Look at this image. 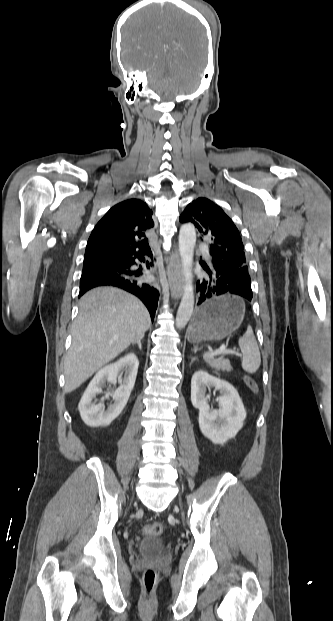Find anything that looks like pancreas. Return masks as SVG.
<instances>
[{"label":"pancreas","instance_id":"1","mask_svg":"<svg viewBox=\"0 0 333 621\" xmlns=\"http://www.w3.org/2000/svg\"><path fill=\"white\" fill-rule=\"evenodd\" d=\"M204 360L217 371H227L230 372L232 370V366L230 361L224 357L214 358V357H205Z\"/></svg>","mask_w":333,"mask_h":621}]
</instances>
